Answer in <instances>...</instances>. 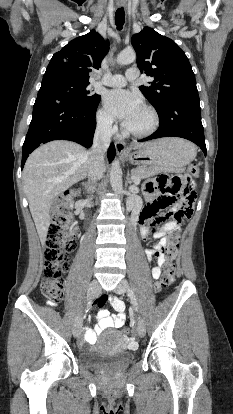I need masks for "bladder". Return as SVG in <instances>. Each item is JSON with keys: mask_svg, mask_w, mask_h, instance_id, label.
I'll use <instances>...</instances> for the list:
<instances>
[{"mask_svg": "<svg viewBox=\"0 0 233 414\" xmlns=\"http://www.w3.org/2000/svg\"><path fill=\"white\" fill-rule=\"evenodd\" d=\"M80 362L88 367H103L109 364H127L133 355L125 351L123 335L113 330L103 335L102 340L92 350L79 355Z\"/></svg>", "mask_w": 233, "mask_h": 414, "instance_id": "bladder-1", "label": "bladder"}]
</instances>
